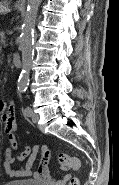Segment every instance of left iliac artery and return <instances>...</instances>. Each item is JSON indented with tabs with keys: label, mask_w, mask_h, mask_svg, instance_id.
I'll list each match as a JSON object with an SVG mask.
<instances>
[{
	"label": "left iliac artery",
	"mask_w": 119,
	"mask_h": 185,
	"mask_svg": "<svg viewBox=\"0 0 119 185\" xmlns=\"http://www.w3.org/2000/svg\"><path fill=\"white\" fill-rule=\"evenodd\" d=\"M32 110L30 107H26L24 110L25 116H31Z\"/></svg>",
	"instance_id": "left-iliac-artery-1"
}]
</instances>
